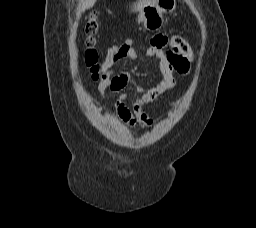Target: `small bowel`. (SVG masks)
<instances>
[{
	"label": "small bowel",
	"instance_id": "c3829d8e",
	"mask_svg": "<svg viewBox=\"0 0 256 228\" xmlns=\"http://www.w3.org/2000/svg\"><path fill=\"white\" fill-rule=\"evenodd\" d=\"M146 56L158 60L162 74L161 81L149 89L139 87L132 75L127 71L119 74H113L112 71L114 65L120 60L125 58L136 59L138 57L137 46L125 44L114 61L104 60L103 62V75L98 85L101 95H104L107 91H121L128 85L134 86L140 94L139 98L131 102H129L126 95L122 94L115 103L118 115L130 126L151 125L152 121L144 106L173 89L176 85V74H186L190 68L189 60L173 49L170 45V38L162 34L153 37L150 47L146 50Z\"/></svg>",
	"mask_w": 256,
	"mask_h": 228
}]
</instances>
